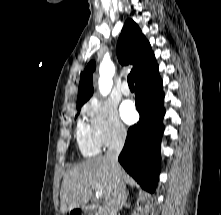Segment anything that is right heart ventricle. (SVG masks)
<instances>
[{"label":"right heart ventricle","mask_w":221,"mask_h":215,"mask_svg":"<svg viewBox=\"0 0 221 215\" xmlns=\"http://www.w3.org/2000/svg\"><path fill=\"white\" fill-rule=\"evenodd\" d=\"M76 138L83 155L92 156L99 152V144L95 141L89 126L83 122L78 125Z\"/></svg>","instance_id":"e07e8e85"}]
</instances>
